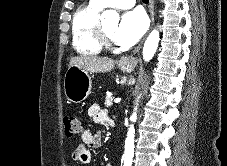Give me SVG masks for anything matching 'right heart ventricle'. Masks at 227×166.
<instances>
[{
    "mask_svg": "<svg viewBox=\"0 0 227 166\" xmlns=\"http://www.w3.org/2000/svg\"><path fill=\"white\" fill-rule=\"evenodd\" d=\"M104 7L94 0L82 4L74 13L71 24L72 45L82 55H97L103 47L96 38L99 15Z\"/></svg>",
    "mask_w": 227,
    "mask_h": 166,
    "instance_id": "e07e8e85",
    "label": "right heart ventricle"
}]
</instances>
